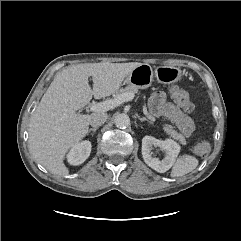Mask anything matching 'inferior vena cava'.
Segmentation results:
<instances>
[{
  "instance_id": "602c4592",
  "label": "inferior vena cava",
  "mask_w": 241,
  "mask_h": 241,
  "mask_svg": "<svg viewBox=\"0 0 241 241\" xmlns=\"http://www.w3.org/2000/svg\"><path fill=\"white\" fill-rule=\"evenodd\" d=\"M108 115L105 112H95L90 115V124L92 127H99L105 123Z\"/></svg>"
}]
</instances>
